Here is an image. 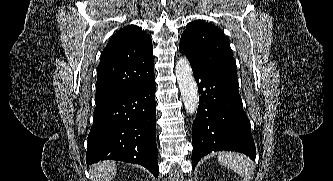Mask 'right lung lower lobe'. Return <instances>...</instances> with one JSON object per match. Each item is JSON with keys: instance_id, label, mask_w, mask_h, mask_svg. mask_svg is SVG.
Segmentation results:
<instances>
[{"instance_id": "obj_1", "label": "right lung lower lobe", "mask_w": 333, "mask_h": 181, "mask_svg": "<svg viewBox=\"0 0 333 181\" xmlns=\"http://www.w3.org/2000/svg\"><path fill=\"white\" fill-rule=\"evenodd\" d=\"M155 79L96 105L88 135L87 164L112 159L139 164L159 175Z\"/></svg>"}]
</instances>
